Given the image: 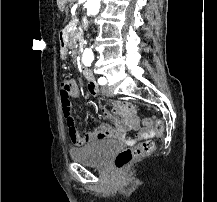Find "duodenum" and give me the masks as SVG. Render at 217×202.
<instances>
[{"instance_id": "410a0bca", "label": "duodenum", "mask_w": 217, "mask_h": 202, "mask_svg": "<svg viewBox=\"0 0 217 202\" xmlns=\"http://www.w3.org/2000/svg\"><path fill=\"white\" fill-rule=\"evenodd\" d=\"M59 43H60L62 52L65 53V51H66V34L64 31H61L59 34ZM83 75L89 83L94 82L93 73L88 68L83 69Z\"/></svg>"}]
</instances>
